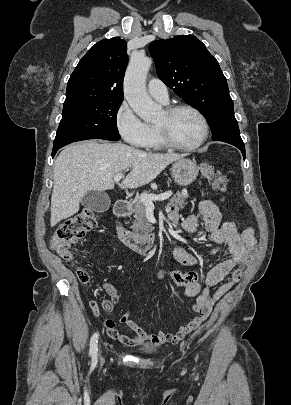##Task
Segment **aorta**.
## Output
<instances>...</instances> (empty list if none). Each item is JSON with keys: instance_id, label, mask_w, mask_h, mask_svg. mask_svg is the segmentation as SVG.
Segmentation results:
<instances>
[{"instance_id": "762f6f07", "label": "aorta", "mask_w": 291, "mask_h": 405, "mask_svg": "<svg viewBox=\"0 0 291 405\" xmlns=\"http://www.w3.org/2000/svg\"><path fill=\"white\" fill-rule=\"evenodd\" d=\"M152 59L143 54L131 56L124 79V96L133 111L145 122H153L160 113V107L152 101L146 90V77Z\"/></svg>"}]
</instances>
